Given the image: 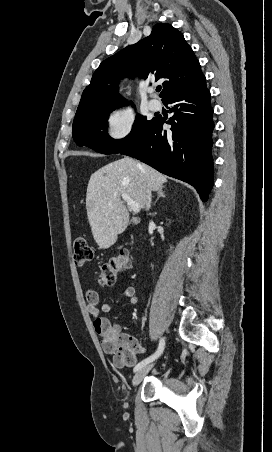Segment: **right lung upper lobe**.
<instances>
[{"instance_id":"1","label":"right lung upper lobe","mask_w":272,"mask_h":452,"mask_svg":"<svg viewBox=\"0 0 272 452\" xmlns=\"http://www.w3.org/2000/svg\"><path fill=\"white\" fill-rule=\"evenodd\" d=\"M136 74L163 82L162 101L195 83L202 71L193 50L181 32L159 23L150 36L127 46L103 61L85 88L76 115L98 108H117L124 104L118 93L119 81Z\"/></svg>"}]
</instances>
